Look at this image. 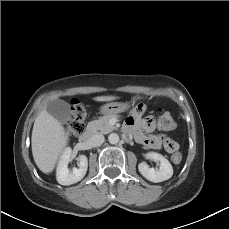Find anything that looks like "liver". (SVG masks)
I'll return each mask as SVG.
<instances>
[{"label": "liver", "mask_w": 229, "mask_h": 229, "mask_svg": "<svg viewBox=\"0 0 229 229\" xmlns=\"http://www.w3.org/2000/svg\"><path fill=\"white\" fill-rule=\"evenodd\" d=\"M57 96H52L55 99ZM116 96H97L95 101H112ZM32 154L37 167L45 174L51 173L57 161L62 154L65 146L68 144V135L55 117L43 108L35 119L32 137Z\"/></svg>", "instance_id": "1"}]
</instances>
